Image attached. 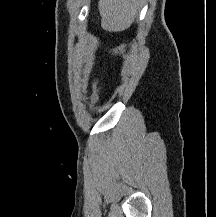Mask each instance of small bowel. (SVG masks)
Segmentation results:
<instances>
[{"mask_svg":"<svg viewBox=\"0 0 216 217\" xmlns=\"http://www.w3.org/2000/svg\"><path fill=\"white\" fill-rule=\"evenodd\" d=\"M101 88V85L100 84H95L94 85V92H95V95H94V99H96L97 98V92H98V90Z\"/></svg>","mask_w":216,"mask_h":217,"instance_id":"1","label":"small bowel"}]
</instances>
